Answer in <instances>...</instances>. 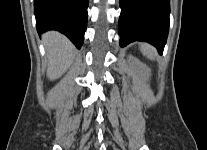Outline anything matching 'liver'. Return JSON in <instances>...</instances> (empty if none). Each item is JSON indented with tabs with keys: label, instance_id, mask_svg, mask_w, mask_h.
<instances>
[{
	"label": "liver",
	"instance_id": "liver-1",
	"mask_svg": "<svg viewBox=\"0 0 207 150\" xmlns=\"http://www.w3.org/2000/svg\"><path fill=\"white\" fill-rule=\"evenodd\" d=\"M43 43L48 58L47 77L50 80H56L72 64L75 51L74 46L65 36L54 31L44 34Z\"/></svg>",
	"mask_w": 207,
	"mask_h": 150
}]
</instances>
